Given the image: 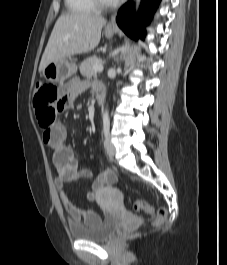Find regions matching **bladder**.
Here are the masks:
<instances>
[{"label": "bladder", "mask_w": 227, "mask_h": 265, "mask_svg": "<svg viewBox=\"0 0 227 265\" xmlns=\"http://www.w3.org/2000/svg\"><path fill=\"white\" fill-rule=\"evenodd\" d=\"M117 226L116 218L106 217L92 225L72 224L69 230L74 239L99 242L108 239L115 232Z\"/></svg>", "instance_id": "1"}]
</instances>
